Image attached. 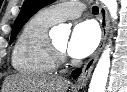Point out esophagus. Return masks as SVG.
Listing matches in <instances>:
<instances>
[{
  "label": "esophagus",
  "mask_w": 127,
  "mask_h": 92,
  "mask_svg": "<svg viewBox=\"0 0 127 92\" xmlns=\"http://www.w3.org/2000/svg\"><path fill=\"white\" fill-rule=\"evenodd\" d=\"M100 17H101V29H102V38H101V43L96 50V52L92 55V57L85 63L81 75L77 79L75 85L78 88H82L86 86L88 79L91 75V72L93 70V67L99 57V54L102 50V47L104 45V42L107 37L108 29H109V15L106 7L101 4L100 5Z\"/></svg>",
  "instance_id": "obj_1"
}]
</instances>
